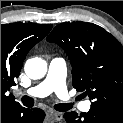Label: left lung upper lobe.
Segmentation results:
<instances>
[{"label": "left lung upper lobe", "instance_id": "obj_1", "mask_svg": "<svg viewBox=\"0 0 123 123\" xmlns=\"http://www.w3.org/2000/svg\"><path fill=\"white\" fill-rule=\"evenodd\" d=\"M72 66V84L93 107L123 110V46L102 27L86 22L61 23L48 35Z\"/></svg>", "mask_w": 123, "mask_h": 123}]
</instances>
